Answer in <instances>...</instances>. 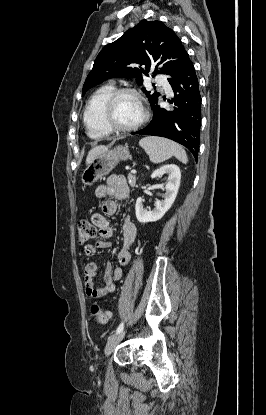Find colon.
Masks as SVG:
<instances>
[{"instance_id": "5ec220e1", "label": "colon", "mask_w": 266, "mask_h": 415, "mask_svg": "<svg viewBox=\"0 0 266 415\" xmlns=\"http://www.w3.org/2000/svg\"><path fill=\"white\" fill-rule=\"evenodd\" d=\"M97 232L96 226L87 220H82L78 224V242L81 245L87 244ZM91 316L97 323H107L110 319V313L98 304H93L90 308Z\"/></svg>"}]
</instances>
